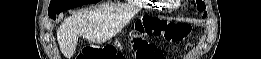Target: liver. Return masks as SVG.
I'll return each mask as SVG.
<instances>
[{"mask_svg":"<svg viewBox=\"0 0 261 59\" xmlns=\"http://www.w3.org/2000/svg\"><path fill=\"white\" fill-rule=\"evenodd\" d=\"M127 21L123 13L107 5L77 12L64 19L57 30L60 51L66 59H71L80 36L102 43L117 35Z\"/></svg>","mask_w":261,"mask_h":59,"instance_id":"liver-1","label":"liver"}]
</instances>
